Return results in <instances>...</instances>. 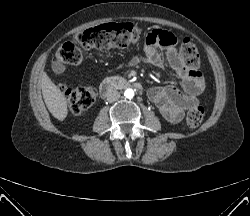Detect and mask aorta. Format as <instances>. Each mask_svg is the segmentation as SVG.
<instances>
[{
  "label": "aorta",
  "mask_w": 250,
  "mask_h": 216,
  "mask_svg": "<svg viewBox=\"0 0 250 216\" xmlns=\"http://www.w3.org/2000/svg\"><path fill=\"white\" fill-rule=\"evenodd\" d=\"M124 96L128 99H132L134 97V91L133 89H126L124 92Z\"/></svg>",
  "instance_id": "obj_1"
}]
</instances>
